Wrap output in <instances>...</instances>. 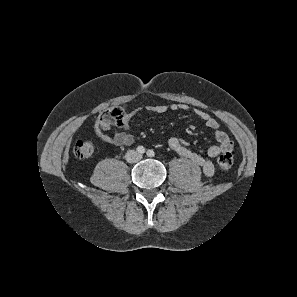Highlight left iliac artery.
I'll use <instances>...</instances> for the list:
<instances>
[{"mask_svg":"<svg viewBox=\"0 0 297 297\" xmlns=\"http://www.w3.org/2000/svg\"><path fill=\"white\" fill-rule=\"evenodd\" d=\"M147 155H148L149 157H153V156L155 155V152H154L153 150H148V151H147Z\"/></svg>","mask_w":297,"mask_h":297,"instance_id":"44dca946","label":"left iliac artery"}]
</instances>
